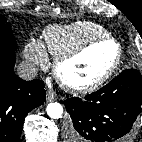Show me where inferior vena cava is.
Listing matches in <instances>:
<instances>
[{"label": "inferior vena cava", "mask_w": 142, "mask_h": 142, "mask_svg": "<svg viewBox=\"0 0 142 142\" xmlns=\"http://www.w3.org/2000/svg\"><path fill=\"white\" fill-rule=\"evenodd\" d=\"M17 74L23 80H32L38 74V67L29 61H23L18 65Z\"/></svg>", "instance_id": "obj_1"}]
</instances>
